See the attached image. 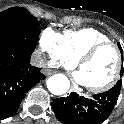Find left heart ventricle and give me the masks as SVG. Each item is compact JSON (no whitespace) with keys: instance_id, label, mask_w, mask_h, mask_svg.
<instances>
[{"instance_id":"left-heart-ventricle-1","label":"left heart ventricle","mask_w":124,"mask_h":124,"mask_svg":"<svg viewBox=\"0 0 124 124\" xmlns=\"http://www.w3.org/2000/svg\"><path fill=\"white\" fill-rule=\"evenodd\" d=\"M117 66V55L113 48L101 50L93 59L85 63L81 69L86 86H100L113 76Z\"/></svg>"}]
</instances>
